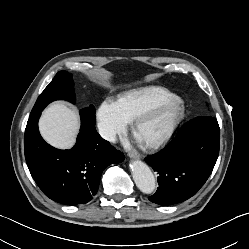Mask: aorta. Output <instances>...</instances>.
Returning <instances> with one entry per match:
<instances>
[{"instance_id":"762f6f07","label":"aorta","mask_w":249,"mask_h":249,"mask_svg":"<svg viewBox=\"0 0 249 249\" xmlns=\"http://www.w3.org/2000/svg\"><path fill=\"white\" fill-rule=\"evenodd\" d=\"M133 180L139 190L145 194H150L155 190L156 181L150 168L140 160L130 163Z\"/></svg>"}]
</instances>
